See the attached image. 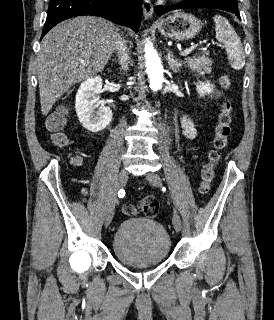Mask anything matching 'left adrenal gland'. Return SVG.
Here are the masks:
<instances>
[{"label":"left adrenal gland","instance_id":"obj_1","mask_svg":"<svg viewBox=\"0 0 274 320\" xmlns=\"http://www.w3.org/2000/svg\"><path fill=\"white\" fill-rule=\"evenodd\" d=\"M167 62L169 64V68H171L172 72H174V74H177V72H179L180 70V62H178V60H174L173 58V54H171V52H168L167 54Z\"/></svg>","mask_w":274,"mask_h":320}]
</instances>
